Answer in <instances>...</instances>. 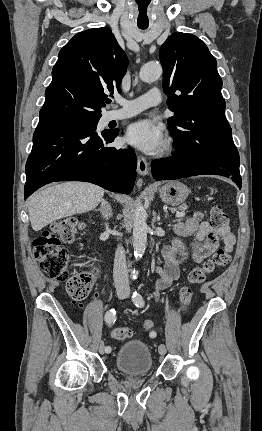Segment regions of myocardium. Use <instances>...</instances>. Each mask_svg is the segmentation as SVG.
Returning a JSON list of instances; mask_svg holds the SVG:
<instances>
[{
    "instance_id": "myocardium-1",
    "label": "myocardium",
    "mask_w": 262,
    "mask_h": 431,
    "mask_svg": "<svg viewBox=\"0 0 262 431\" xmlns=\"http://www.w3.org/2000/svg\"><path fill=\"white\" fill-rule=\"evenodd\" d=\"M172 149H173V147H172V146H170V147H169V150H172Z\"/></svg>"
}]
</instances>
